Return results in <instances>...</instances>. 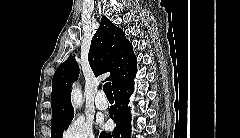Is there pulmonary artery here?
<instances>
[{
	"instance_id": "pulmonary-artery-1",
	"label": "pulmonary artery",
	"mask_w": 240,
	"mask_h": 138,
	"mask_svg": "<svg viewBox=\"0 0 240 138\" xmlns=\"http://www.w3.org/2000/svg\"><path fill=\"white\" fill-rule=\"evenodd\" d=\"M95 105L100 110H105L108 107V101L105 98V94L102 90H99L95 97Z\"/></svg>"
}]
</instances>
